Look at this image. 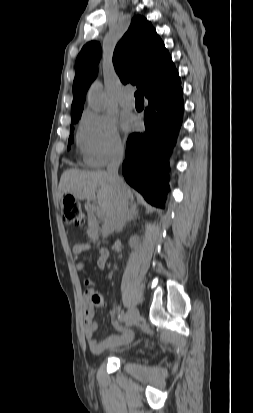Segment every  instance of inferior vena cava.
<instances>
[{
	"mask_svg": "<svg viewBox=\"0 0 253 413\" xmlns=\"http://www.w3.org/2000/svg\"><path fill=\"white\" fill-rule=\"evenodd\" d=\"M123 154V148L117 149L111 156L107 166V174L114 189V201L103 225L104 236L117 230L124 222L128 212V200L124 182L118 175V168L122 162Z\"/></svg>",
	"mask_w": 253,
	"mask_h": 413,
	"instance_id": "602c4592",
	"label": "inferior vena cava"
}]
</instances>
